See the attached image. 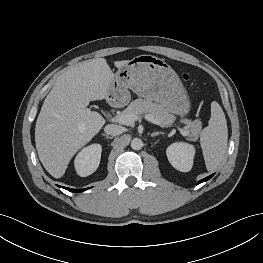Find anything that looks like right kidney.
I'll list each match as a JSON object with an SVG mask.
<instances>
[{"instance_id":"obj_1","label":"right kidney","mask_w":263,"mask_h":263,"mask_svg":"<svg viewBox=\"0 0 263 263\" xmlns=\"http://www.w3.org/2000/svg\"><path fill=\"white\" fill-rule=\"evenodd\" d=\"M102 147L100 144H92L83 148L74 160L76 172L81 177H86L95 172L101 159Z\"/></svg>"}]
</instances>
